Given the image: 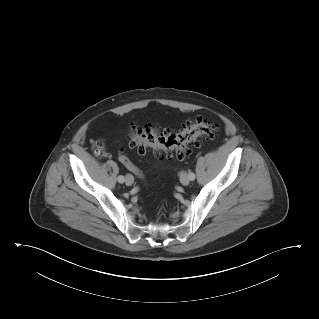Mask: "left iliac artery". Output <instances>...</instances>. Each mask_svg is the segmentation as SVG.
Instances as JSON below:
<instances>
[{
  "instance_id": "obj_1",
  "label": "left iliac artery",
  "mask_w": 319,
  "mask_h": 319,
  "mask_svg": "<svg viewBox=\"0 0 319 319\" xmlns=\"http://www.w3.org/2000/svg\"><path fill=\"white\" fill-rule=\"evenodd\" d=\"M188 177H189V179H190L191 181H193V180L195 179V174L192 173V172H190L189 175H188Z\"/></svg>"
}]
</instances>
